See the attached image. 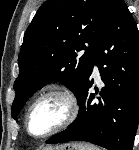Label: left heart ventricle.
Returning <instances> with one entry per match:
<instances>
[{"mask_svg": "<svg viewBox=\"0 0 139 150\" xmlns=\"http://www.w3.org/2000/svg\"><path fill=\"white\" fill-rule=\"evenodd\" d=\"M65 101L58 96L42 99L30 116V130L35 135H42L58 126L67 115Z\"/></svg>", "mask_w": 139, "mask_h": 150, "instance_id": "obj_1", "label": "left heart ventricle"}]
</instances>
